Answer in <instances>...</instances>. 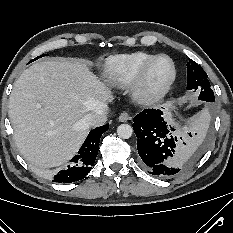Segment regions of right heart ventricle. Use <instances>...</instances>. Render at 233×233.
Returning a JSON list of instances; mask_svg holds the SVG:
<instances>
[{
	"instance_id": "1",
	"label": "right heart ventricle",
	"mask_w": 233,
	"mask_h": 233,
	"mask_svg": "<svg viewBox=\"0 0 233 233\" xmlns=\"http://www.w3.org/2000/svg\"><path fill=\"white\" fill-rule=\"evenodd\" d=\"M155 56L156 54L144 51L112 56L105 63V77L111 85L128 86L141 67Z\"/></svg>"
}]
</instances>
